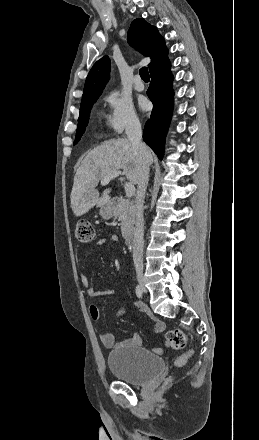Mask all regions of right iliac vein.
Listing matches in <instances>:
<instances>
[{
  "label": "right iliac vein",
  "mask_w": 259,
  "mask_h": 440,
  "mask_svg": "<svg viewBox=\"0 0 259 440\" xmlns=\"http://www.w3.org/2000/svg\"><path fill=\"white\" fill-rule=\"evenodd\" d=\"M137 280H138V283H139V286H140L142 292L146 293L147 291H146V287H145V278H144L143 272L141 270L137 271Z\"/></svg>",
  "instance_id": "right-iliac-vein-1"
}]
</instances>
